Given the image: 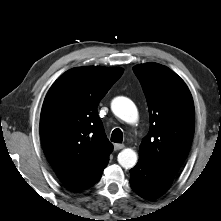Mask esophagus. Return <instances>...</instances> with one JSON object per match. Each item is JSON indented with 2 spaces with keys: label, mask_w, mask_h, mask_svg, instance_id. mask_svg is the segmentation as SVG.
I'll use <instances>...</instances> for the list:
<instances>
[{
  "label": "esophagus",
  "mask_w": 221,
  "mask_h": 221,
  "mask_svg": "<svg viewBox=\"0 0 221 221\" xmlns=\"http://www.w3.org/2000/svg\"><path fill=\"white\" fill-rule=\"evenodd\" d=\"M124 147H125L124 144H115L114 145V150L118 151V150L123 149Z\"/></svg>",
  "instance_id": "obj_1"
}]
</instances>
